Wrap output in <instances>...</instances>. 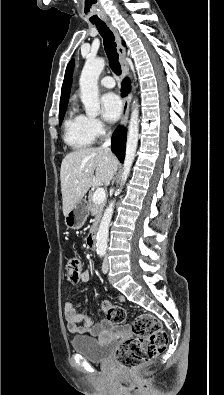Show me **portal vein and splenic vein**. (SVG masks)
<instances>
[{"label": "portal vein and splenic vein", "mask_w": 224, "mask_h": 395, "mask_svg": "<svg viewBox=\"0 0 224 395\" xmlns=\"http://www.w3.org/2000/svg\"><path fill=\"white\" fill-rule=\"evenodd\" d=\"M106 198V193L104 188L99 187L96 189V191L93 194V202L98 205L100 203H102Z\"/></svg>", "instance_id": "18ae733b"}]
</instances>
